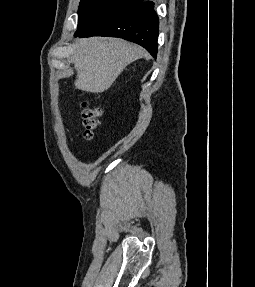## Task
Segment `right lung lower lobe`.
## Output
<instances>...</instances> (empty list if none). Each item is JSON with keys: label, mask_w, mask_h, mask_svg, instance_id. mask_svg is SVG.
Listing matches in <instances>:
<instances>
[{"label": "right lung lower lobe", "mask_w": 255, "mask_h": 287, "mask_svg": "<svg viewBox=\"0 0 255 287\" xmlns=\"http://www.w3.org/2000/svg\"><path fill=\"white\" fill-rule=\"evenodd\" d=\"M153 8V2L138 0L121 7L84 32L75 33V36L120 37L141 45L156 57L159 19Z\"/></svg>", "instance_id": "98d812e1"}]
</instances>
